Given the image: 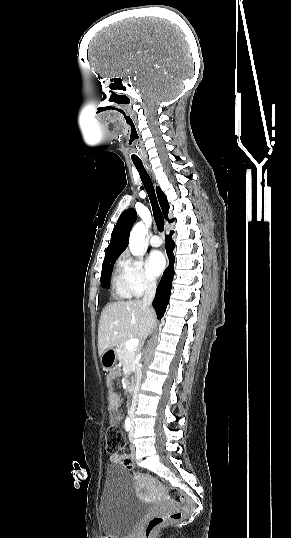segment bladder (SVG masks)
<instances>
[{"label": "bladder", "mask_w": 291, "mask_h": 538, "mask_svg": "<svg viewBox=\"0 0 291 538\" xmlns=\"http://www.w3.org/2000/svg\"><path fill=\"white\" fill-rule=\"evenodd\" d=\"M150 508L136 497L133 480L126 469L119 465L106 468L99 503V524L104 538H126Z\"/></svg>", "instance_id": "1"}]
</instances>
